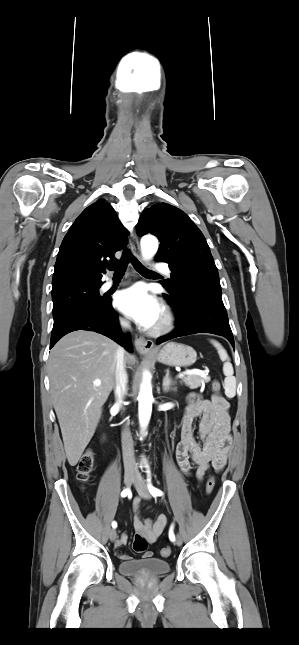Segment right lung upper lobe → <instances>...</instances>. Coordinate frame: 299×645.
I'll list each match as a JSON object with an SVG mask.
<instances>
[{"label": "right lung upper lobe", "mask_w": 299, "mask_h": 645, "mask_svg": "<svg viewBox=\"0 0 299 645\" xmlns=\"http://www.w3.org/2000/svg\"><path fill=\"white\" fill-rule=\"evenodd\" d=\"M127 230L114 209L102 199L87 207L68 230L60 246L52 280V291L85 283L103 284L107 258L127 244Z\"/></svg>", "instance_id": "right-lung-upper-lobe-1"}]
</instances>
